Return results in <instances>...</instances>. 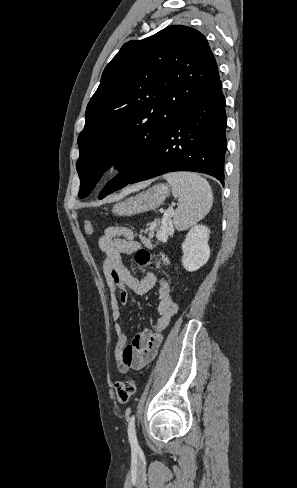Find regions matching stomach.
<instances>
[{"label":"stomach","mask_w":297,"mask_h":488,"mask_svg":"<svg viewBox=\"0 0 297 488\" xmlns=\"http://www.w3.org/2000/svg\"><path fill=\"white\" fill-rule=\"evenodd\" d=\"M169 193L168 184H156L135 196L116 203L112 207V212L117 216L127 217L155 210L164 202Z\"/></svg>","instance_id":"obj_1"}]
</instances>
